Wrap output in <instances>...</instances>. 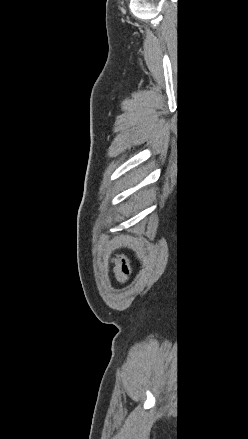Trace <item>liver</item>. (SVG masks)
I'll return each instance as SVG.
<instances>
[{
	"label": "liver",
	"mask_w": 248,
	"mask_h": 439,
	"mask_svg": "<svg viewBox=\"0 0 248 439\" xmlns=\"http://www.w3.org/2000/svg\"><path fill=\"white\" fill-rule=\"evenodd\" d=\"M130 177H132V183H131V185L132 184H135L139 179H140V176L139 175H131Z\"/></svg>",
	"instance_id": "6515ba94"
}]
</instances>
